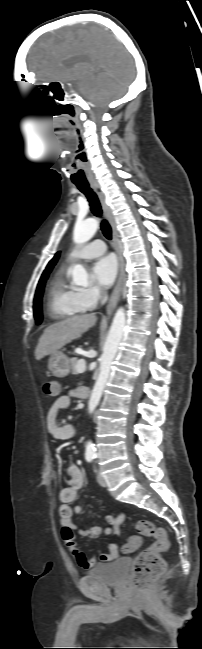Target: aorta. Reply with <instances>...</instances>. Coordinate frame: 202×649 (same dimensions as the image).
I'll return each instance as SVG.
<instances>
[{
    "mask_svg": "<svg viewBox=\"0 0 202 649\" xmlns=\"http://www.w3.org/2000/svg\"><path fill=\"white\" fill-rule=\"evenodd\" d=\"M98 228V222L94 218H88L84 221L76 223L73 231V240L75 243L82 244L89 241ZM73 282L77 285L87 284L89 275L86 269L81 264H76L71 271ZM126 323L125 309L120 307L117 309L107 339L103 347V353L100 357V371L98 378L95 382L93 390L88 402L89 413L92 414L96 409L107 380L110 374L111 364L116 356L119 344L124 334ZM95 452V445L89 441L86 445V453L93 454Z\"/></svg>",
    "mask_w": 202,
    "mask_h": 649,
    "instance_id": "obj_1",
    "label": "aorta"
}]
</instances>
